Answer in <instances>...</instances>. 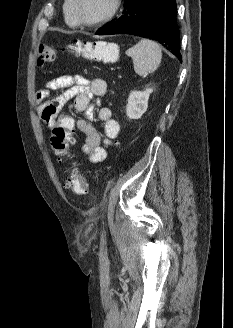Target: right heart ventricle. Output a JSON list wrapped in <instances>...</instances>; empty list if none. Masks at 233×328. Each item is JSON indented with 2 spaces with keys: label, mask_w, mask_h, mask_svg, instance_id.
I'll list each match as a JSON object with an SVG mask.
<instances>
[{
  "label": "right heart ventricle",
  "mask_w": 233,
  "mask_h": 328,
  "mask_svg": "<svg viewBox=\"0 0 233 328\" xmlns=\"http://www.w3.org/2000/svg\"><path fill=\"white\" fill-rule=\"evenodd\" d=\"M64 19L68 26L77 27L79 24L74 14V0H65L63 4Z\"/></svg>",
  "instance_id": "right-heart-ventricle-1"
}]
</instances>
